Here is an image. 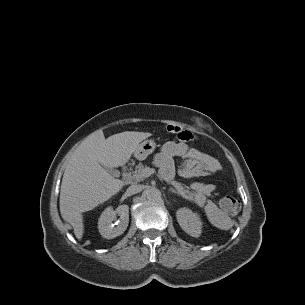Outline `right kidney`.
Wrapping results in <instances>:
<instances>
[{"label":"right kidney","mask_w":305,"mask_h":305,"mask_svg":"<svg viewBox=\"0 0 305 305\" xmlns=\"http://www.w3.org/2000/svg\"><path fill=\"white\" fill-rule=\"evenodd\" d=\"M120 218L116 224V216ZM129 223V207L128 205H120L115 210L112 207H107L101 214L98 221V229L102 237L106 239L115 238L124 233Z\"/></svg>","instance_id":"right-kidney-1"}]
</instances>
